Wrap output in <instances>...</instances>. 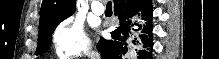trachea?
I'll list each match as a JSON object with an SVG mask.
<instances>
[{
  "mask_svg": "<svg viewBox=\"0 0 219 59\" xmlns=\"http://www.w3.org/2000/svg\"><path fill=\"white\" fill-rule=\"evenodd\" d=\"M106 7H107V8H112V2H111V1H108Z\"/></svg>",
  "mask_w": 219,
  "mask_h": 59,
  "instance_id": "obj_1",
  "label": "trachea"
}]
</instances>
